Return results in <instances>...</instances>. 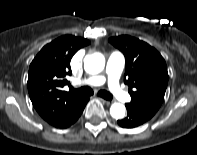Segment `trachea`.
I'll use <instances>...</instances> for the list:
<instances>
[{
	"mask_svg": "<svg viewBox=\"0 0 197 155\" xmlns=\"http://www.w3.org/2000/svg\"><path fill=\"white\" fill-rule=\"evenodd\" d=\"M71 91L75 92V93H78V94H81V95H87V96H90L93 94V90L90 88V87H81L79 89H74V88H71ZM98 96L106 99V100H112L113 99V96L110 92L108 91H105V90H100L98 93H97Z\"/></svg>",
	"mask_w": 197,
	"mask_h": 155,
	"instance_id": "3493384b",
	"label": "trachea"
}]
</instances>
